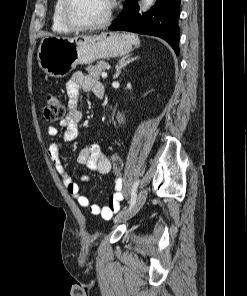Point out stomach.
<instances>
[{
	"instance_id": "0dacf381",
	"label": "stomach",
	"mask_w": 247,
	"mask_h": 296,
	"mask_svg": "<svg viewBox=\"0 0 247 296\" xmlns=\"http://www.w3.org/2000/svg\"><path fill=\"white\" fill-rule=\"evenodd\" d=\"M140 45L133 34L101 33L74 38L50 36L38 48L40 68L49 76L62 78L78 64H91L99 59L119 57Z\"/></svg>"
}]
</instances>
